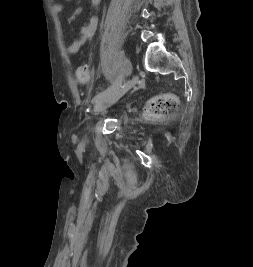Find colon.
I'll return each instance as SVG.
<instances>
[{
  "mask_svg": "<svg viewBox=\"0 0 253 267\" xmlns=\"http://www.w3.org/2000/svg\"><path fill=\"white\" fill-rule=\"evenodd\" d=\"M76 78L79 82H85L89 78L86 65L81 64L76 69ZM177 97L171 94L162 95L149 101L147 109L155 116H164L173 113L178 108Z\"/></svg>",
  "mask_w": 253,
  "mask_h": 267,
  "instance_id": "5ec220e1",
  "label": "colon"
}]
</instances>
